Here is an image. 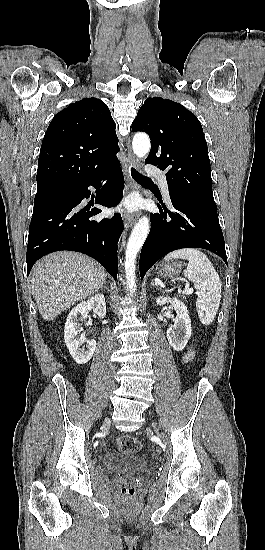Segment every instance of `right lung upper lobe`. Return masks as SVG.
<instances>
[{
	"label": "right lung upper lobe",
	"mask_w": 265,
	"mask_h": 550,
	"mask_svg": "<svg viewBox=\"0 0 265 550\" xmlns=\"http://www.w3.org/2000/svg\"><path fill=\"white\" fill-rule=\"evenodd\" d=\"M116 124L105 103L85 98L51 121L38 159L37 185H62L96 176L119 163Z\"/></svg>",
	"instance_id": "1"
}]
</instances>
